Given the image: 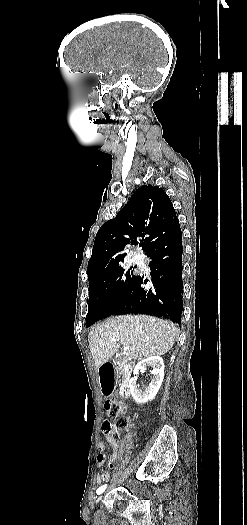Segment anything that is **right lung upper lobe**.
Instances as JSON below:
<instances>
[{"instance_id":"cb5924a9","label":"right lung upper lobe","mask_w":247,"mask_h":525,"mask_svg":"<svg viewBox=\"0 0 247 525\" xmlns=\"http://www.w3.org/2000/svg\"><path fill=\"white\" fill-rule=\"evenodd\" d=\"M178 226L174 207L164 190L159 186H141L117 216L97 232L88 275L120 268L126 256L125 246L134 244L137 237H143L139 246L146 250Z\"/></svg>"}]
</instances>
